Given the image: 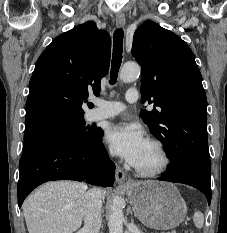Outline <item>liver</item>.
<instances>
[{
    "label": "liver",
    "instance_id": "obj_1",
    "mask_svg": "<svg viewBox=\"0 0 227 233\" xmlns=\"http://www.w3.org/2000/svg\"><path fill=\"white\" fill-rule=\"evenodd\" d=\"M88 186L71 181L48 182L23 203L29 233H73L82 224ZM103 198L105 192H102Z\"/></svg>",
    "mask_w": 227,
    "mask_h": 233
}]
</instances>
